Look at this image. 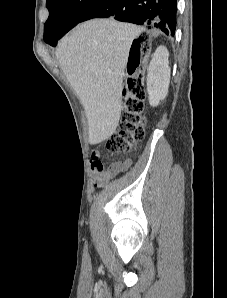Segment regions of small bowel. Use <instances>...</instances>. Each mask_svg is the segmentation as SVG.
Returning a JSON list of instances; mask_svg holds the SVG:
<instances>
[{"mask_svg":"<svg viewBox=\"0 0 227 298\" xmlns=\"http://www.w3.org/2000/svg\"><path fill=\"white\" fill-rule=\"evenodd\" d=\"M93 178L96 184L100 185L116 176L118 173L125 171L130 166V160H121L113 163L107 168L103 167L102 155L96 151L90 154Z\"/></svg>","mask_w":227,"mask_h":298,"instance_id":"small-bowel-1","label":"small bowel"}]
</instances>
